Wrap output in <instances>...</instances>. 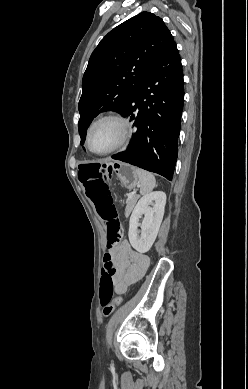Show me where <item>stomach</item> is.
<instances>
[{
	"label": "stomach",
	"instance_id": "stomach-1",
	"mask_svg": "<svg viewBox=\"0 0 248 389\" xmlns=\"http://www.w3.org/2000/svg\"><path fill=\"white\" fill-rule=\"evenodd\" d=\"M111 169L114 171L115 176L118 177L120 183L127 189H134L139 184L135 167L120 163L112 164Z\"/></svg>",
	"mask_w": 248,
	"mask_h": 389
}]
</instances>
